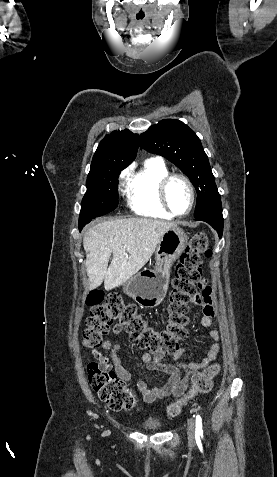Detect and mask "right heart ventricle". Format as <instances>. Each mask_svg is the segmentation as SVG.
Returning <instances> with one entry per match:
<instances>
[{
  "label": "right heart ventricle",
  "instance_id": "1",
  "mask_svg": "<svg viewBox=\"0 0 277 477\" xmlns=\"http://www.w3.org/2000/svg\"><path fill=\"white\" fill-rule=\"evenodd\" d=\"M167 174L169 171L161 160L149 159L131 176L127 188V201L135 214L156 219L174 218L163 208L158 196L159 183Z\"/></svg>",
  "mask_w": 277,
  "mask_h": 477
}]
</instances>
